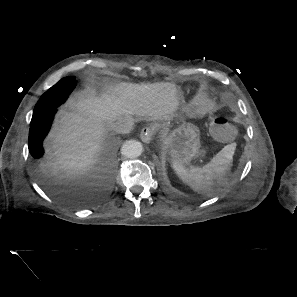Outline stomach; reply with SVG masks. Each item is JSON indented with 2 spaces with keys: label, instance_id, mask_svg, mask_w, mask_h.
I'll use <instances>...</instances> for the list:
<instances>
[{
  "label": "stomach",
  "instance_id": "obj_1",
  "mask_svg": "<svg viewBox=\"0 0 297 297\" xmlns=\"http://www.w3.org/2000/svg\"><path fill=\"white\" fill-rule=\"evenodd\" d=\"M162 145L169 152L172 163L183 166L203 154L200 131L191 123L184 122L171 132H162Z\"/></svg>",
  "mask_w": 297,
  "mask_h": 297
}]
</instances>
